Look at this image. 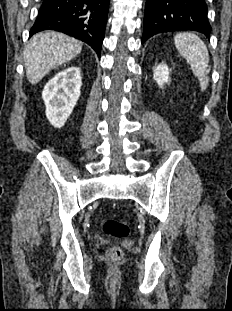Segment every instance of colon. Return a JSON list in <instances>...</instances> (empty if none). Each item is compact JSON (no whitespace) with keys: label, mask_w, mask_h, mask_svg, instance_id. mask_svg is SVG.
Returning a JSON list of instances; mask_svg holds the SVG:
<instances>
[{"label":"colon","mask_w":232,"mask_h":311,"mask_svg":"<svg viewBox=\"0 0 232 311\" xmlns=\"http://www.w3.org/2000/svg\"><path fill=\"white\" fill-rule=\"evenodd\" d=\"M102 228L106 235L114 238H125L130 233L126 222L114 218L105 219ZM106 256L110 261H120L123 258V250L118 246L110 247Z\"/></svg>","instance_id":"5ec220e1"}]
</instances>
